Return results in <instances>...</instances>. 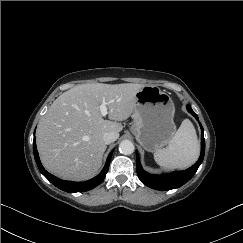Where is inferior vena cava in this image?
<instances>
[{
    "instance_id": "1",
    "label": "inferior vena cava",
    "mask_w": 243,
    "mask_h": 243,
    "mask_svg": "<svg viewBox=\"0 0 243 243\" xmlns=\"http://www.w3.org/2000/svg\"><path fill=\"white\" fill-rule=\"evenodd\" d=\"M117 139V135L115 132H106L103 135V140L105 144H110Z\"/></svg>"
}]
</instances>
